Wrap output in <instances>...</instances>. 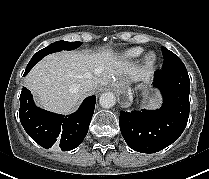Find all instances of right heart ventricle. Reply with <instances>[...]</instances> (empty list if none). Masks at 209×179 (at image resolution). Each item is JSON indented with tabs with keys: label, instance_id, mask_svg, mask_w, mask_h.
<instances>
[{
	"label": "right heart ventricle",
	"instance_id": "right-heart-ventricle-1",
	"mask_svg": "<svg viewBox=\"0 0 209 179\" xmlns=\"http://www.w3.org/2000/svg\"><path fill=\"white\" fill-rule=\"evenodd\" d=\"M144 52V49L142 47H132L129 49L124 50L120 57L123 60H135L137 58H139Z\"/></svg>",
	"mask_w": 209,
	"mask_h": 179
}]
</instances>
